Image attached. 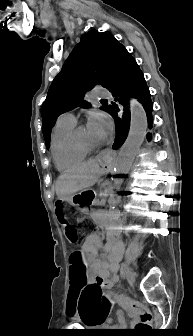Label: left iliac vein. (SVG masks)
Here are the masks:
<instances>
[{"instance_id": "4c4485c4", "label": "left iliac vein", "mask_w": 193, "mask_h": 336, "mask_svg": "<svg viewBox=\"0 0 193 336\" xmlns=\"http://www.w3.org/2000/svg\"><path fill=\"white\" fill-rule=\"evenodd\" d=\"M125 268V273H126V279L129 282V284H134L135 282V274L134 272L129 268L124 265Z\"/></svg>"}]
</instances>
